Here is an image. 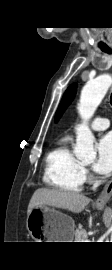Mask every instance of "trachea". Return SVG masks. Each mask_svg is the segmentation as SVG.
<instances>
[{
    "label": "trachea",
    "instance_id": "1",
    "mask_svg": "<svg viewBox=\"0 0 112 270\" xmlns=\"http://www.w3.org/2000/svg\"><path fill=\"white\" fill-rule=\"evenodd\" d=\"M102 51H104V52H106L108 54H110L112 52V50L110 48H104V49H102ZM110 101H111V105H112V94H111V97H110Z\"/></svg>",
    "mask_w": 112,
    "mask_h": 270
}]
</instances>
